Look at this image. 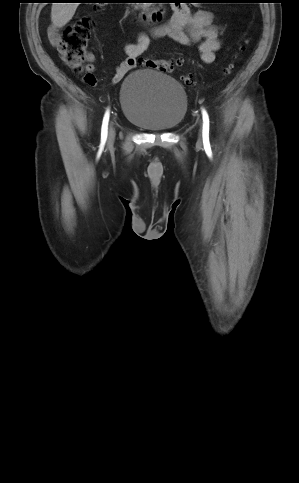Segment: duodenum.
<instances>
[{"label":"duodenum","mask_w":299,"mask_h":483,"mask_svg":"<svg viewBox=\"0 0 299 483\" xmlns=\"http://www.w3.org/2000/svg\"><path fill=\"white\" fill-rule=\"evenodd\" d=\"M133 14L143 24L149 25L160 19L166 14L165 6H156L153 8L137 9L133 8Z\"/></svg>","instance_id":"410a0bca"}]
</instances>
